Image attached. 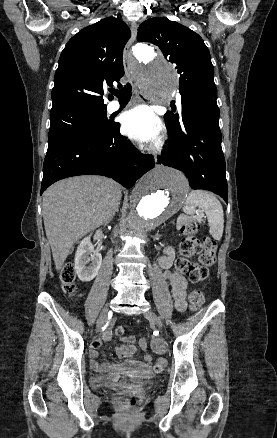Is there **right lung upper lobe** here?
Returning a JSON list of instances; mask_svg holds the SVG:
<instances>
[{
	"label": "right lung upper lobe",
	"mask_w": 277,
	"mask_h": 438,
	"mask_svg": "<svg viewBox=\"0 0 277 438\" xmlns=\"http://www.w3.org/2000/svg\"><path fill=\"white\" fill-rule=\"evenodd\" d=\"M130 34L123 21L107 17L73 36L59 58L50 113L106 108L100 95L113 82L122 86L123 48Z\"/></svg>",
	"instance_id": "cb5924a9"
}]
</instances>
